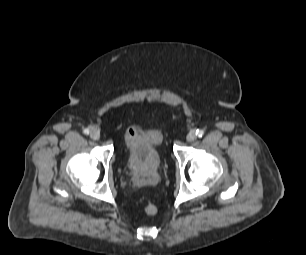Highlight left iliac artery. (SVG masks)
I'll return each instance as SVG.
<instances>
[{
    "label": "left iliac artery",
    "mask_w": 306,
    "mask_h": 255,
    "mask_svg": "<svg viewBox=\"0 0 306 255\" xmlns=\"http://www.w3.org/2000/svg\"><path fill=\"white\" fill-rule=\"evenodd\" d=\"M196 135H197L198 137H202V136L204 135V131L201 130V129H198V130L196 131Z\"/></svg>",
    "instance_id": "obj_1"
}]
</instances>
